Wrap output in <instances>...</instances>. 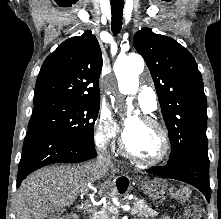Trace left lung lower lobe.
<instances>
[{"label": "left lung lower lobe", "instance_id": "left-lung-lower-lobe-1", "mask_svg": "<svg viewBox=\"0 0 221 219\" xmlns=\"http://www.w3.org/2000/svg\"><path fill=\"white\" fill-rule=\"evenodd\" d=\"M147 173L186 182L199 189L210 201L209 158L207 148L195 147L187 151L180 159L166 166L147 170Z\"/></svg>", "mask_w": 221, "mask_h": 219}]
</instances>
